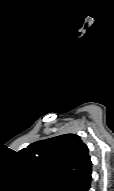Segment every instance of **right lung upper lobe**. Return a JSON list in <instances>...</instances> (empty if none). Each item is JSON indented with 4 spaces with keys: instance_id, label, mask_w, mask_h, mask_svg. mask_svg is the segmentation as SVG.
<instances>
[{
    "instance_id": "1",
    "label": "right lung upper lobe",
    "mask_w": 114,
    "mask_h": 191,
    "mask_svg": "<svg viewBox=\"0 0 114 191\" xmlns=\"http://www.w3.org/2000/svg\"><path fill=\"white\" fill-rule=\"evenodd\" d=\"M27 173L42 189L91 174L87 146L75 134L40 140L18 152Z\"/></svg>"
}]
</instances>
